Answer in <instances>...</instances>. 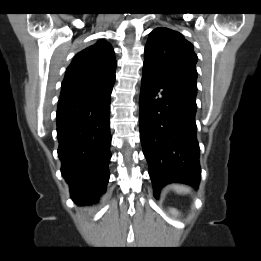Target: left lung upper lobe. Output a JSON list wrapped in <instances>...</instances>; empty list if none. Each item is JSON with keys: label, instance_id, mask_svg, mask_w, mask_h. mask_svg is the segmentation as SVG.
<instances>
[{"label": "left lung upper lobe", "instance_id": "left-lung-upper-lobe-1", "mask_svg": "<svg viewBox=\"0 0 261 261\" xmlns=\"http://www.w3.org/2000/svg\"><path fill=\"white\" fill-rule=\"evenodd\" d=\"M197 60L193 45L182 34L159 27L149 35L143 66L197 89Z\"/></svg>", "mask_w": 261, "mask_h": 261}]
</instances>
